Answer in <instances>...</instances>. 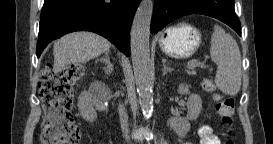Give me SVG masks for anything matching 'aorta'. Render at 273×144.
<instances>
[{"mask_svg": "<svg viewBox=\"0 0 273 144\" xmlns=\"http://www.w3.org/2000/svg\"><path fill=\"white\" fill-rule=\"evenodd\" d=\"M153 1L142 0L133 19L130 44L131 57L139 103L146 116L153 111V91L150 60V24Z\"/></svg>", "mask_w": 273, "mask_h": 144, "instance_id": "aorta-1", "label": "aorta"}]
</instances>
